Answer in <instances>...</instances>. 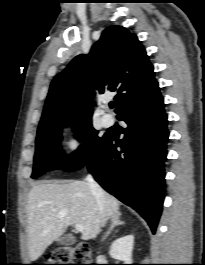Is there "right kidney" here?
I'll list each match as a JSON object with an SVG mask.
<instances>
[{
	"label": "right kidney",
	"mask_w": 205,
	"mask_h": 265,
	"mask_svg": "<svg viewBox=\"0 0 205 265\" xmlns=\"http://www.w3.org/2000/svg\"><path fill=\"white\" fill-rule=\"evenodd\" d=\"M133 244V235L118 238L111 244L109 254L113 259L124 261V264H132Z\"/></svg>",
	"instance_id": "right-kidney-1"
}]
</instances>
